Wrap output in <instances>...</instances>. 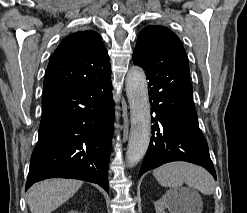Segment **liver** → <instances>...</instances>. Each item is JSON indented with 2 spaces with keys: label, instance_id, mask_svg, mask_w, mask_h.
<instances>
[{
  "label": "liver",
  "instance_id": "6515ba94",
  "mask_svg": "<svg viewBox=\"0 0 247 213\" xmlns=\"http://www.w3.org/2000/svg\"><path fill=\"white\" fill-rule=\"evenodd\" d=\"M83 182L72 179H47L34 185L28 193L31 213H51L72 197Z\"/></svg>",
  "mask_w": 247,
  "mask_h": 213
}]
</instances>
